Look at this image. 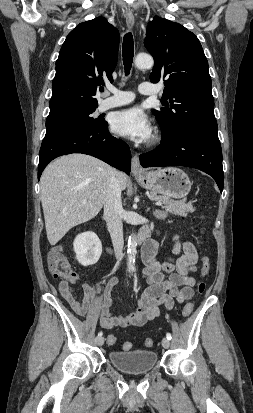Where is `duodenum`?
Segmentation results:
<instances>
[{
  "label": "duodenum",
  "instance_id": "1",
  "mask_svg": "<svg viewBox=\"0 0 253 413\" xmlns=\"http://www.w3.org/2000/svg\"><path fill=\"white\" fill-rule=\"evenodd\" d=\"M149 236H150V231H149L148 227L145 226L139 231V233L136 237V241H137L138 244L148 242Z\"/></svg>",
  "mask_w": 253,
  "mask_h": 413
}]
</instances>
